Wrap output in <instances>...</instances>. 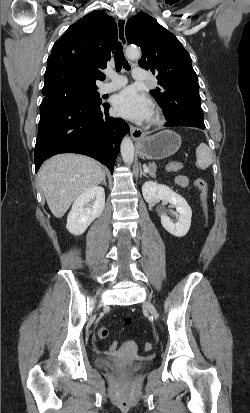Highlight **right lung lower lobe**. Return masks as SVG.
Listing matches in <instances>:
<instances>
[{"instance_id": "98d812e1", "label": "right lung lower lobe", "mask_w": 250, "mask_h": 413, "mask_svg": "<svg viewBox=\"0 0 250 413\" xmlns=\"http://www.w3.org/2000/svg\"><path fill=\"white\" fill-rule=\"evenodd\" d=\"M108 110V104L75 99L42 101L35 171L53 155L79 153L100 161L113 173L121 139L129 126L121 118L109 117Z\"/></svg>"}]
</instances>
